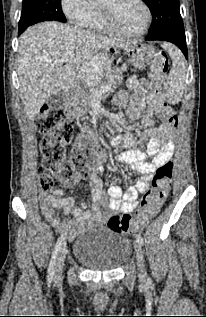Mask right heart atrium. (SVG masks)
<instances>
[{
  "label": "right heart atrium",
  "instance_id": "right-heart-atrium-1",
  "mask_svg": "<svg viewBox=\"0 0 206 317\" xmlns=\"http://www.w3.org/2000/svg\"><path fill=\"white\" fill-rule=\"evenodd\" d=\"M62 11L71 24L88 27L94 14V6L88 0H61Z\"/></svg>",
  "mask_w": 206,
  "mask_h": 317
}]
</instances>
